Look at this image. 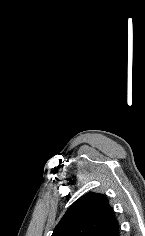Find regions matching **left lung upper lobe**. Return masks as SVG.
<instances>
[{"label": "left lung upper lobe", "instance_id": "obj_1", "mask_svg": "<svg viewBox=\"0 0 145 236\" xmlns=\"http://www.w3.org/2000/svg\"><path fill=\"white\" fill-rule=\"evenodd\" d=\"M119 223L107 198L89 192L76 200L52 236H119Z\"/></svg>", "mask_w": 145, "mask_h": 236}]
</instances>
